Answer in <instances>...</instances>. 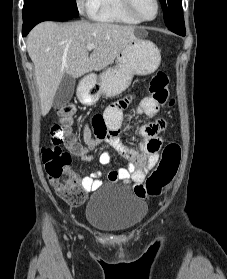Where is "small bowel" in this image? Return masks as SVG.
<instances>
[{
    "mask_svg": "<svg viewBox=\"0 0 227 279\" xmlns=\"http://www.w3.org/2000/svg\"><path fill=\"white\" fill-rule=\"evenodd\" d=\"M131 96H127L117 102L105 112V125L108 128L105 132L98 134L94 130H91L90 126L86 123L83 128V138L85 144L94 148L101 145L102 151L99 153L89 152L82 153L78 160L81 162H91L97 159L102 165H109L112 161V157L106 147H112L119 152L127 161L126 167H121L116 170H111L106 174V180L109 182H132L135 186L144 188L143 182L146 178L149 169L154 167L158 160V151L161 147L162 140L160 134L166 128V122L163 119H158L154 122L148 123L143 126V133L145 135V148L154 144L156 146L152 153L147 156L141 155L136 150L124 145L117 137V133L120 129V125L123 123L122 111L128 106ZM159 110L158 104L150 98H146L141 103V111L147 116H154ZM124 125H130L128 122H124ZM152 130L149 133L147 130ZM104 174L101 171H93L85 175L82 179V188L85 192L89 193L98 189L102 184V178ZM52 184L55 181H51ZM84 199V197L81 199Z\"/></svg>",
    "mask_w": 227,
    "mask_h": 279,
    "instance_id": "1",
    "label": "small bowel"
}]
</instances>
